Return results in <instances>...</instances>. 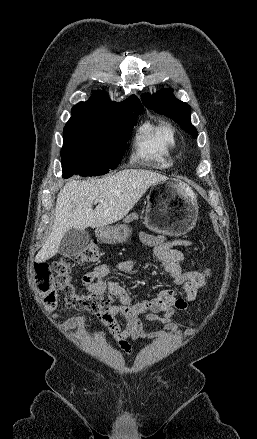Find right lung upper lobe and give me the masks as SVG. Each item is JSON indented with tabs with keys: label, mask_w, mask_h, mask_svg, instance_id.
<instances>
[{
	"label": "right lung upper lobe",
	"mask_w": 257,
	"mask_h": 439,
	"mask_svg": "<svg viewBox=\"0 0 257 439\" xmlns=\"http://www.w3.org/2000/svg\"><path fill=\"white\" fill-rule=\"evenodd\" d=\"M143 106L139 99L132 95L122 103L112 102L102 91H93V96L87 102L73 106L72 117H97L105 119H120L129 113L141 112Z\"/></svg>",
	"instance_id": "obj_1"
}]
</instances>
